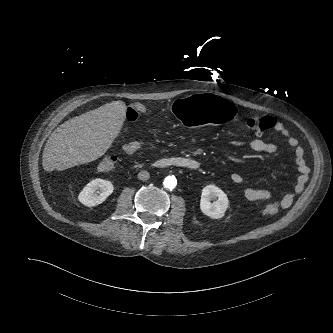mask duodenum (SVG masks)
Masks as SVG:
<instances>
[{
  "label": "duodenum",
  "mask_w": 333,
  "mask_h": 333,
  "mask_svg": "<svg viewBox=\"0 0 333 333\" xmlns=\"http://www.w3.org/2000/svg\"><path fill=\"white\" fill-rule=\"evenodd\" d=\"M153 165L157 168L176 167L188 170H197L200 163L196 159L189 157H169L158 159Z\"/></svg>",
  "instance_id": "duodenum-1"
}]
</instances>
